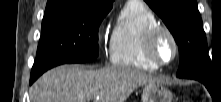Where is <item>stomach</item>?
I'll return each mask as SVG.
<instances>
[{"instance_id":"obj_1","label":"stomach","mask_w":221,"mask_h":102,"mask_svg":"<svg viewBox=\"0 0 221 102\" xmlns=\"http://www.w3.org/2000/svg\"><path fill=\"white\" fill-rule=\"evenodd\" d=\"M170 90L159 82L146 84L142 92V102H172Z\"/></svg>"}]
</instances>
